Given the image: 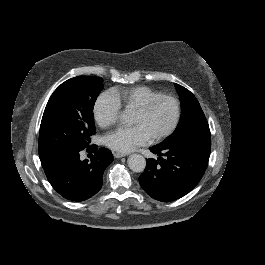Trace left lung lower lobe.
I'll list each match as a JSON object with an SVG mask.
<instances>
[{
  "label": "left lung lower lobe",
  "mask_w": 265,
  "mask_h": 265,
  "mask_svg": "<svg viewBox=\"0 0 265 265\" xmlns=\"http://www.w3.org/2000/svg\"><path fill=\"white\" fill-rule=\"evenodd\" d=\"M150 151L165 159H148L139 183L152 198L168 202L183 197L201 180L208 165L211 136H189Z\"/></svg>",
  "instance_id": "0a47b994"
}]
</instances>
